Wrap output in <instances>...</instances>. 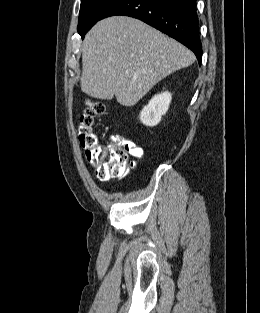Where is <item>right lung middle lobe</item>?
Here are the masks:
<instances>
[{"instance_id": "dd1d6c3e", "label": "right lung middle lobe", "mask_w": 260, "mask_h": 313, "mask_svg": "<svg viewBox=\"0 0 260 313\" xmlns=\"http://www.w3.org/2000/svg\"><path fill=\"white\" fill-rule=\"evenodd\" d=\"M116 1L117 0H81L77 30L82 38Z\"/></svg>"}]
</instances>
